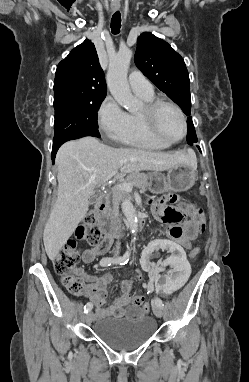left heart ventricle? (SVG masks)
Instances as JSON below:
<instances>
[{
    "label": "left heart ventricle",
    "instance_id": "b2bd125f",
    "mask_svg": "<svg viewBox=\"0 0 249 382\" xmlns=\"http://www.w3.org/2000/svg\"><path fill=\"white\" fill-rule=\"evenodd\" d=\"M157 123L160 131L170 139H178L183 134V124L178 113L169 106L158 111Z\"/></svg>",
    "mask_w": 249,
    "mask_h": 382
}]
</instances>
